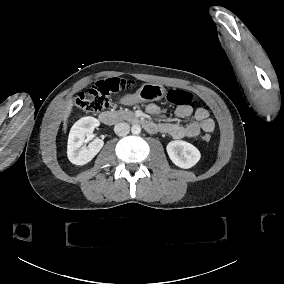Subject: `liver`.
Segmentation results:
<instances>
[{"label": "liver", "mask_w": 284, "mask_h": 284, "mask_svg": "<svg viewBox=\"0 0 284 284\" xmlns=\"http://www.w3.org/2000/svg\"><path fill=\"white\" fill-rule=\"evenodd\" d=\"M72 106H73V100L72 99H69L68 102H67V108H66V112L64 114V117H63V127H64V130H66L67 128V118L71 112V109H72Z\"/></svg>", "instance_id": "1"}]
</instances>
